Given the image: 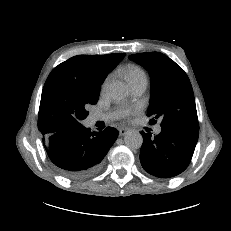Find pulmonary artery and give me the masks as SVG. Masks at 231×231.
Here are the masks:
<instances>
[{
  "label": "pulmonary artery",
  "instance_id": "1",
  "mask_svg": "<svg viewBox=\"0 0 231 231\" xmlns=\"http://www.w3.org/2000/svg\"><path fill=\"white\" fill-rule=\"evenodd\" d=\"M146 85L147 84H140V85H136L134 87L131 88V91L132 93L135 95V96H139L141 95L144 90L146 89ZM115 115H112V114H108V115H101V114H93L90 116V121L92 123H95L97 121H101V120H108V119H111V118H114ZM162 128L160 125H157L155 128H154V132L156 134H159L161 132Z\"/></svg>",
  "mask_w": 231,
  "mask_h": 231
}]
</instances>
